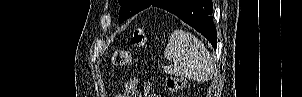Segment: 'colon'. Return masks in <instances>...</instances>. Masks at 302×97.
I'll use <instances>...</instances> for the list:
<instances>
[{"instance_id": "obj_1", "label": "colon", "mask_w": 302, "mask_h": 97, "mask_svg": "<svg viewBox=\"0 0 302 97\" xmlns=\"http://www.w3.org/2000/svg\"><path fill=\"white\" fill-rule=\"evenodd\" d=\"M148 37L146 31L143 27H136L133 31L132 36V45L136 48H144L147 46ZM131 53L126 50H120L113 53L111 61L114 66L122 67L127 66L131 63ZM167 87L171 91L178 90L183 82L180 79L176 78H168L167 79ZM151 88V84L148 82L144 86L145 96L153 97L150 95L149 90Z\"/></svg>"}]
</instances>
